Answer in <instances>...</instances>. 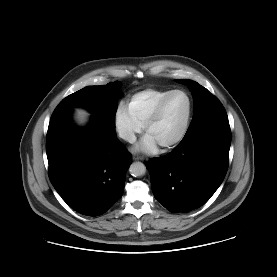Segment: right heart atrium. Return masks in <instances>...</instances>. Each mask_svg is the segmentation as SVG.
Wrapping results in <instances>:
<instances>
[{
  "mask_svg": "<svg viewBox=\"0 0 277 277\" xmlns=\"http://www.w3.org/2000/svg\"><path fill=\"white\" fill-rule=\"evenodd\" d=\"M113 122L118 136L128 143L134 142L137 135L143 130V126L133 118L124 103H120L117 106Z\"/></svg>",
  "mask_w": 277,
  "mask_h": 277,
  "instance_id": "obj_1",
  "label": "right heart atrium"
}]
</instances>
